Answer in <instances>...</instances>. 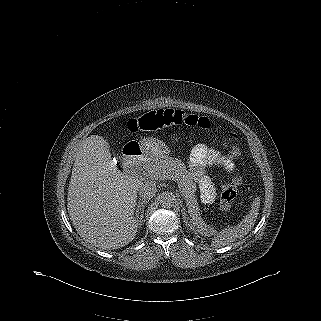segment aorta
<instances>
[{
	"label": "aorta",
	"instance_id": "762f6f07",
	"mask_svg": "<svg viewBox=\"0 0 321 321\" xmlns=\"http://www.w3.org/2000/svg\"><path fill=\"white\" fill-rule=\"evenodd\" d=\"M160 205L164 208H171L176 203V196L172 192H163L159 198Z\"/></svg>",
	"mask_w": 321,
	"mask_h": 321
}]
</instances>
